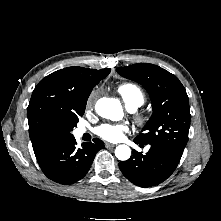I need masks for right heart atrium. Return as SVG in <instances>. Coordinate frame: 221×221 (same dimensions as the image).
I'll return each mask as SVG.
<instances>
[{
	"label": "right heart atrium",
	"mask_w": 221,
	"mask_h": 221,
	"mask_svg": "<svg viewBox=\"0 0 221 221\" xmlns=\"http://www.w3.org/2000/svg\"><path fill=\"white\" fill-rule=\"evenodd\" d=\"M93 104H94V94H92V95L89 97V99H88V101H87V107H88V108H92Z\"/></svg>",
	"instance_id": "1"
}]
</instances>
